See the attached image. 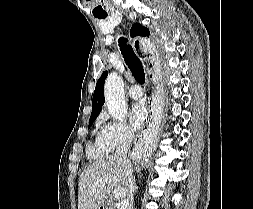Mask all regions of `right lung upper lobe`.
Instances as JSON below:
<instances>
[{"mask_svg":"<svg viewBox=\"0 0 253 209\" xmlns=\"http://www.w3.org/2000/svg\"><path fill=\"white\" fill-rule=\"evenodd\" d=\"M131 37L135 36H149V29L135 23L130 30ZM108 75V71L103 72L101 77L98 79L96 88L92 99V113L90 119H96L99 115L100 109L104 104V82Z\"/></svg>","mask_w":253,"mask_h":209,"instance_id":"1","label":"right lung upper lobe"}]
</instances>
